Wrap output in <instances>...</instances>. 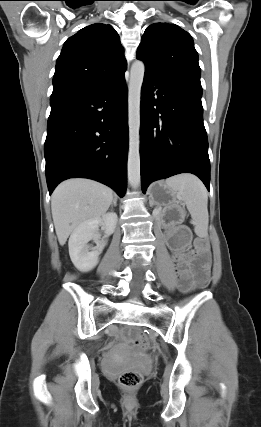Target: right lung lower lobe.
<instances>
[{
  "label": "right lung lower lobe",
  "mask_w": 261,
  "mask_h": 427,
  "mask_svg": "<svg viewBox=\"0 0 261 427\" xmlns=\"http://www.w3.org/2000/svg\"><path fill=\"white\" fill-rule=\"evenodd\" d=\"M125 77L51 106L44 145L51 194L63 180L90 178L124 196L127 183Z\"/></svg>",
  "instance_id": "98d812e1"
}]
</instances>
